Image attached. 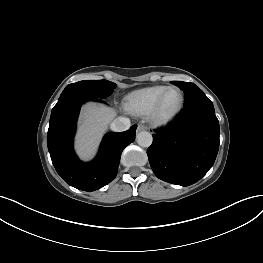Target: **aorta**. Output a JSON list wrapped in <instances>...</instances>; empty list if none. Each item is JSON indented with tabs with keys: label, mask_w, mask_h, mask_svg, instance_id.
Instances as JSON below:
<instances>
[{
	"label": "aorta",
	"mask_w": 263,
	"mask_h": 263,
	"mask_svg": "<svg viewBox=\"0 0 263 263\" xmlns=\"http://www.w3.org/2000/svg\"><path fill=\"white\" fill-rule=\"evenodd\" d=\"M137 143L141 147H149L152 144L153 138L151 133L147 131H142L137 134Z\"/></svg>",
	"instance_id": "aorta-1"
}]
</instances>
